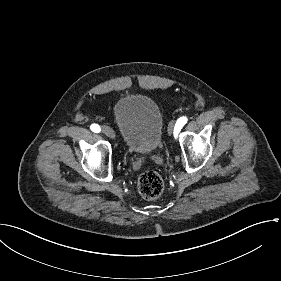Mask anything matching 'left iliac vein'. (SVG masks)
<instances>
[{
  "instance_id": "obj_1",
  "label": "left iliac vein",
  "mask_w": 281,
  "mask_h": 281,
  "mask_svg": "<svg viewBox=\"0 0 281 281\" xmlns=\"http://www.w3.org/2000/svg\"><path fill=\"white\" fill-rule=\"evenodd\" d=\"M175 122L174 121H171L170 123H169V126H168V133L171 135L172 133H173V131H174V129H175Z\"/></svg>"
}]
</instances>
